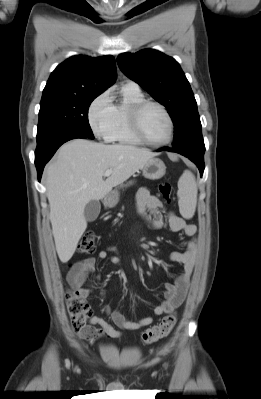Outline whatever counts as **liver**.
<instances>
[{"mask_svg":"<svg viewBox=\"0 0 261 399\" xmlns=\"http://www.w3.org/2000/svg\"><path fill=\"white\" fill-rule=\"evenodd\" d=\"M156 154L130 145L74 139L60 147L46 170L50 221L58 257L68 262L87 228L84 208L107 196ZM112 174L103 180L105 171Z\"/></svg>","mask_w":261,"mask_h":399,"instance_id":"1","label":"liver"}]
</instances>
